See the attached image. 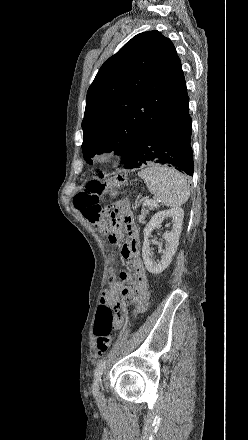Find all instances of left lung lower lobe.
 I'll use <instances>...</instances> for the list:
<instances>
[{"label": "left lung lower lobe", "instance_id": "1", "mask_svg": "<svg viewBox=\"0 0 248 440\" xmlns=\"http://www.w3.org/2000/svg\"><path fill=\"white\" fill-rule=\"evenodd\" d=\"M192 120L187 91L135 141L124 163L125 169L148 162L175 166L193 176V152L190 145Z\"/></svg>", "mask_w": 248, "mask_h": 440}]
</instances>
